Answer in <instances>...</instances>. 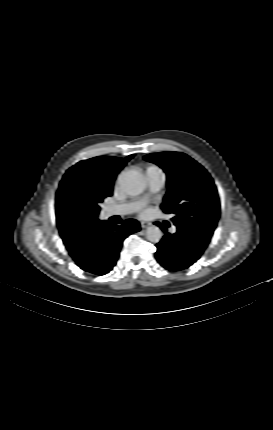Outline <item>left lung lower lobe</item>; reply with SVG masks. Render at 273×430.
<instances>
[{"label":"left lung lower lobe","instance_id":"0a47b994","mask_svg":"<svg viewBox=\"0 0 273 430\" xmlns=\"http://www.w3.org/2000/svg\"><path fill=\"white\" fill-rule=\"evenodd\" d=\"M165 232L162 240L156 245V259L166 269L179 271L188 268L203 254L206 246L201 244L186 230L177 227L174 234L159 225Z\"/></svg>","mask_w":273,"mask_h":430}]
</instances>
